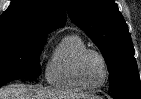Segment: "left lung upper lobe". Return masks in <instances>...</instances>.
I'll use <instances>...</instances> for the list:
<instances>
[{
  "instance_id": "1",
  "label": "left lung upper lobe",
  "mask_w": 141,
  "mask_h": 99,
  "mask_svg": "<svg viewBox=\"0 0 141 99\" xmlns=\"http://www.w3.org/2000/svg\"><path fill=\"white\" fill-rule=\"evenodd\" d=\"M71 20L102 52L112 94L141 96V83L128 26L113 0H65Z\"/></svg>"
}]
</instances>
